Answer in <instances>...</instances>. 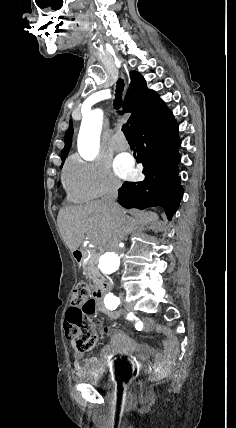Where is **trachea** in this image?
I'll return each instance as SVG.
<instances>
[{
	"label": "trachea",
	"instance_id": "trachea-1",
	"mask_svg": "<svg viewBox=\"0 0 236 428\" xmlns=\"http://www.w3.org/2000/svg\"><path fill=\"white\" fill-rule=\"evenodd\" d=\"M123 87H124L123 80H121V79L118 80L117 88H116V94H115L116 98L114 100L115 109H119V107L122 104L121 96H122V92H123ZM122 131H123L127 140H133L131 128L129 127V125L127 123L125 125H123Z\"/></svg>",
	"mask_w": 236,
	"mask_h": 428
}]
</instances>
